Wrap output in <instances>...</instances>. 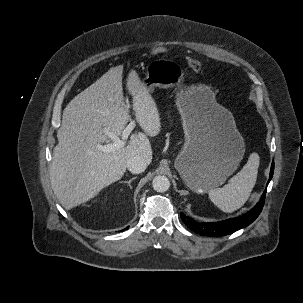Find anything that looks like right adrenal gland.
Segmentation results:
<instances>
[{"label":"right adrenal gland","instance_id":"right-adrenal-gland-1","mask_svg":"<svg viewBox=\"0 0 303 303\" xmlns=\"http://www.w3.org/2000/svg\"><path fill=\"white\" fill-rule=\"evenodd\" d=\"M137 177H133V178H131L130 180H128V181H121V183H126V184H128V186L130 187V189H132V186H131V182L133 181V180H135Z\"/></svg>","mask_w":303,"mask_h":303}]
</instances>
